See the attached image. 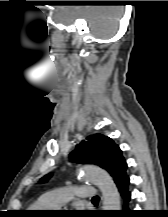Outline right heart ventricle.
<instances>
[{
    "instance_id": "e07e8e85",
    "label": "right heart ventricle",
    "mask_w": 168,
    "mask_h": 217,
    "mask_svg": "<svg viewBox=\"0 0 168 217\" xmlns=\"http://www.w3.org/2000/svg\"><path fill=\"white\" fill-rule=\"evenodd\" d=\"M48 209H51V208L48 205H46L45 203H43L40 199L37 200L35 203H33L29 207L30 212H39V211H44V210H48Z\"/></svg>"
}]
</instances>
